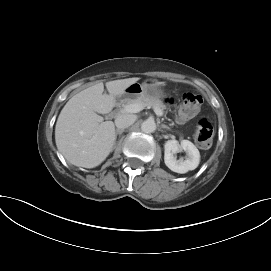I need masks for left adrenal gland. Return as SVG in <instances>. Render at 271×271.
I'll list each match as a JSON object with an SVG mask.
<instances>
[{"label":"left adrenal gland","mask_w":271,"mask_h":271,"mask_svg":"<svg viewBox=\"0 0 271 271\" xmlns=\"http://www.w3.org/2000/svg\"><path fill=\"white\" fill-rule=\"evenodd\" d=\"M161 127L170 130V128L168 126L164 125V124H162Z\"/></svg>","instance_id":"obj_1"}]
</instances>
